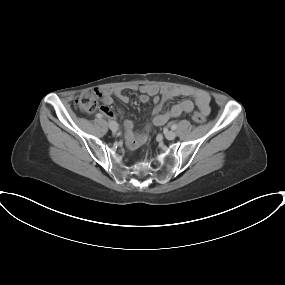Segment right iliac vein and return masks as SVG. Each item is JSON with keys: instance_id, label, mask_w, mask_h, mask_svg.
<instances>
[{"instance_id": "1", "label": "right iliac vein", "mask_w": 285, "mask_h": 285, "mask_svg": "<svg viewBox=\"0 0 285 285\" xmlns=\"http://www.w3.org/2000/svg\"><path fill=\"white\" fill-rule=\"evenodd\" d=\"M109 128L112 130V131H117L118 130V124L114 121H110L109 122Z\"/></svg>"}]
</instances>
